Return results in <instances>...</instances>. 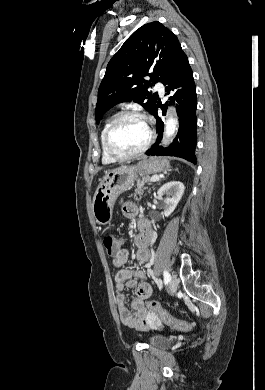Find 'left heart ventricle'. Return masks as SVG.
I'll return each instance as SVG.
<instances>
[{"label": "left heart ventricle", "instance_id": "obj_1", "mask_svg": "<svg viewBox=\"0 0 265 390\" xmlns=\"http://www.w3.org/2000/svg\"><path fill=\"white\" fill-rule=\"evenodd\" d=\"M147 138L148 130L141 120L126 118L115 128L111 142L117 152L127 154L140 149Z\"/></svg>", "mask_w": 265, "mask_h": 390}]
</instances>
